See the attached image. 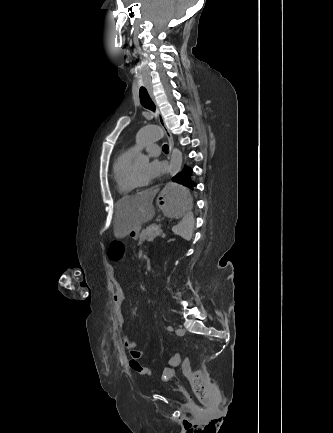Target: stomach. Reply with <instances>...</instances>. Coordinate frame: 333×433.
<instances>
[{
	"label": "stomach",
	"instance_id": "stomach-1",
	"mask_svg": "<svg viewBox=\"0 0 333 433\" xmlns=\"http://www.w3.org/2000/svg\"><path fill=\"white\" fill-rule=\"evenodd\" d=\"M158 203L161 204L164 220H184V215L193 208L185 183H164L162 192L158 195ZM138 233L131 232L130 235L136 239Z\"/></svg>",
	"mask_w": 333,
	"mask_h": 433
}]
</instances>
